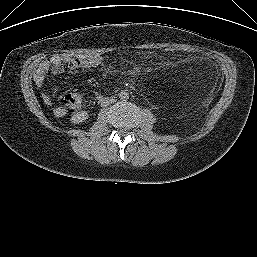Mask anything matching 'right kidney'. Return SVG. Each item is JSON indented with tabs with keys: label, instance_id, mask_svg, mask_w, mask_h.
Wrapping results in <instances>:
<instances>
[{
	"label": "right kidney",
	"instance_id": "1",
	"mask_svg": "<svg viewBox=\"0 0 257 257\" xmlns=\"http://www.w3.org/2000/svg\"><path fill=\"white\" fill-rule=\"evenodd\" d=\"M88 119V113L85 111L78 112L71 117V122L74 124H79Z\"/></svg>",
	"mask_w": 257,
	"mask_h": 257
}]
</instances>
